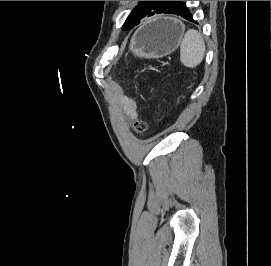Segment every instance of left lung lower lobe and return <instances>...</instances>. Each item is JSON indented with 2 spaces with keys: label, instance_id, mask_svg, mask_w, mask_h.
Masks as SVG:
<instances>
[{
  "label": "left lung lower lobe",
  "instance_id": "1",
  "mask_svg": "<svg viewBox=\"0 0 271 266\" xmlns=\"http://www.w3.org/2000/svg\"><path fill=\"white\" fill-rule=\"evenodd\" d=\"M160 13L175 14V15H178V16H182L183 18H185V19H187L189 21L197 23L196 21H194L192 19V14L190 13L189 8L185 5L184 2H181V1H178L175 4V6L170 11H168V12L151 13L147 17L153 16L155 14H160Z\"/></svg>",
  "mask_w": 271,
  "mask_h": 266
}]
</instances>
